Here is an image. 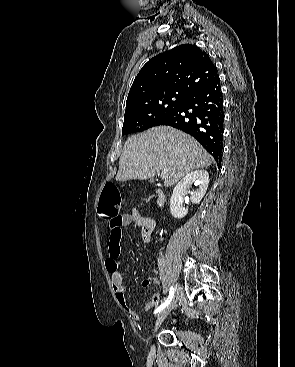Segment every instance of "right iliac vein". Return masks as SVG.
Segmentation results:
<instances>
[{"label": "right iliac vein", "instance_id": "right-iliac-vein-1", "mask_svg": "<svg viewBox=\"0 0 295 367\" xmlns=\"http://www.w3.org/2000/svg\"><path fill=\"white\" fill-rule=\"evenodd\" d=\"M180 296H181V289H180V286L178 284H176V286H175V295L173 296L170 303L159 313V315L157 317V321H156V325H155L153 334H155V332L157 331L159 325L169 315V313L175 308ZM154 352H155V346L152 345L151 346V353L154 354Z\"/></svg>", "mask_w": 295, "mask_h": 367}]
</instances>
